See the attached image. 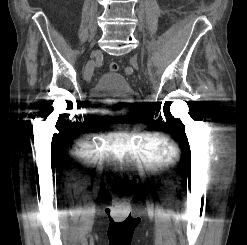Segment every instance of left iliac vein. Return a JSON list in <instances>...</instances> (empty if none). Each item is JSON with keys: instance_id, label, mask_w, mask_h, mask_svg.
<instances>
[{"instance_id": "obj_1", "label": "left iliac vein", "mask_w": 247, "mask_h": 245, "mask_svg": "<svg viewBox=\"0 0 247 245\" xmlns=\"http://www.w3.org/2000/svg\"><path fill=\"white\" fill-rule=\"evenodd\" d=\"M131 64L135 67L137 65V62L134 58L131 59Z\"/></svg>"}]
</instances>
